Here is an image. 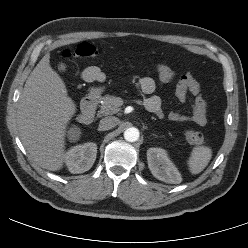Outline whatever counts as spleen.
Returning a JSON list of instances; mask_svg holds the SVG:
<instances>
[{
    "mask_svg": "<svg viewBox=\"0 0 248 248\" xmlns=\"http://www.w3.org/2000/svg\"><path fill=\"white\" fill-rule=\"evenodd\" d=\"M212 158V151L209 147L199 146L192 150L188 160L189 170L192 174L202 172Z\"/></svg>",
    "mask_w": 248,
    "mask_h": 248,
    "instance_id": "spleen-1",
    "label": "spleen"
}]
</instances>
